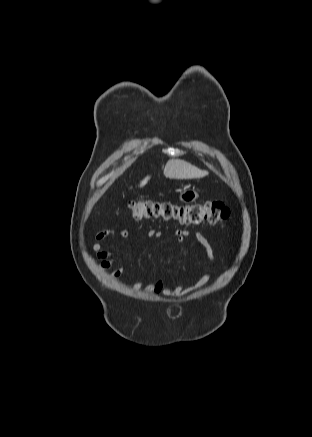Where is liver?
Wrapping results in <instances>:
<instances>
[{
  "label": "liver",
  "mask_w": 312,
  "mask_h": 437,
  "mask_svg": "<svg viewBox=\"0 0 312 437\" xmlns=\"http://www.w3.org/2000/svg\"><path fill=\"white\" fill-rule=\"evenodd\" d=\"M206 175H208L207 171L200 170L199 168L180 159L169 160L164 168V176L167 178L193 179V178H203ZM149 180H150V176L145 177L140 182V187L146 185Z\"/></svg>",
  "instance_id": "liver-1"
}]
</instances>
